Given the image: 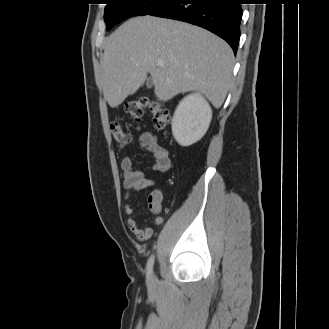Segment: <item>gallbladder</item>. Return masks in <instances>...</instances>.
Returning <instances> with one entry per match:
<instances>
[{
  "mask_svg": "<svg viewBox=\"0 0 329 329\" xmlns=\"http://www.w3.org/2000/svg\"><path fill=\"white\" fill-rule=\"evenodd\" d=\"M146 86H147V88H151V87L153 86L152 78H148V79H147Z\"/></svg>",
  "mask_w": 329,
  "mask_h": 329,
  "instance_id": "bac80fb5",
  "label": "gallbladder"
}]
</instances>
